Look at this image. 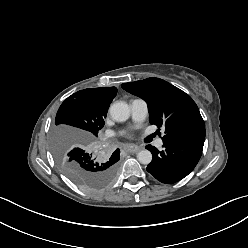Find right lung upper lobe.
<instances>
[{
	"label": "right lung upper lobe",
	"mask_w": 248,
	"mask_h": 248,
	"mask_svg": "<svg viewBox=\"0 0 248 248\" xmlns=\"http://www.w3.org/2000/svg\"><path fill=\"white\" fill-rule=\"evenodd\" d=\"M94 108L108 110L117 94L116 87H101L81 90Z\"/></svg>",
	"instance_id": "cb5924a9"
}]
</instances>
